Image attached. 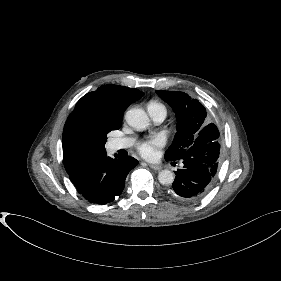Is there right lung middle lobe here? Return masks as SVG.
Returning <instances> with one entry per match:
<instances>
[{
    "instance_id": "1",
    "label": "right lung middle lobe",
    "mask_w": 281,
    "mask_h": 281,
    "mask_svg": "<svg viewBox=\"0 0 281 281\" xmlns=\"http://www.w3.org/2000/svg\"><path fill=\"white\" fill-rule=\"evenodd\" d=\"M120 126L89 104L76 105L64 126L63 156L72 163L86 162L105 152L107 134Z\"/></svg>"
}]
</instances>
